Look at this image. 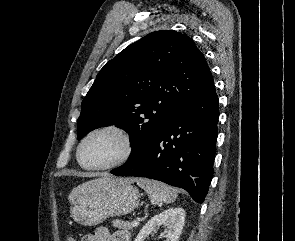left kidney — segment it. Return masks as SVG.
<instances>
[{
    "label": "left kidney",
    "mask_w": 295,
    "mask_h": 241,
    "mask_svg": "<svg viewBox=\"0 0 295 241\" xmlns=\"http://www.w3.org/2000/svg\"><path fill=\"white\" fill-rule=\"evenodd\" d=\"M185 222L183 208H169L151 218L140 230L135 241H144L158 226L166 227L164 241H178Z\"/></svg>",
    "instance_id": "obj_1"
}]
</instances>
